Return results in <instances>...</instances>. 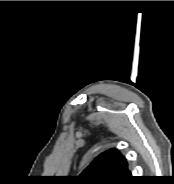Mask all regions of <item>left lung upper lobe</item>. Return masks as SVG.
<instances>
[{"instance_id":"5c2ea615","label":"left lung upper lobe","mask_w":174,"mask_h":184,"mask_svg":"<svg viewBox=\"0 0 174 184\" xmlns=\"http://www.w3.org/2000/svg\"><path fill=\"white\" fill-rule=\"evenodd\" d=\"M131 180L126 159L116 149L100 154L79 176L81 184H125Z\"/></svg>"}]
</instances>
